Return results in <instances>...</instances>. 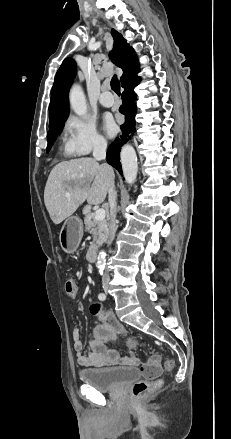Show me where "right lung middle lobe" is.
Masks as SVG:
<instances>
[{"label":"right lung middle lobe","instance_id":"dd1d6c3e","mask_svg":"<svg viewBox=\"0 0 231 439\" xmlns=\"http://www.w3.org/2000/svg\"><path fill=\"white\" fill-rule=\"evenodd\" d=\"M63 122L54 126V127H51L50 130L48 131V133H47V138H48L47 149L48 150L51 148L52 144L54 143L56 136L61 133L63 126H64Z\"/></svg>","mask_w":231,"mask_h":439}]
</instances>
